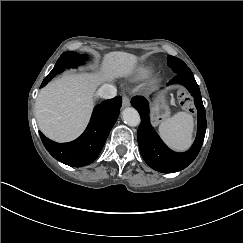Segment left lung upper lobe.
Segmentation results:
<instances>
[{
	"mask_svg": "<svg viewBox=\"0 0 243 243\" xmlns=\"http://www.w3.org/2000/svg\"><path fill=\"white\" fill-rule=\"evenodd\" d=\"M167 58H168L167 61L168 66L172 68V70L175 73L192 74L191 70L187 67V65L179 58L173 57L171 55H168Z\"/></svg>",
	"mask_w": 243,
	"mask_h": 243,
	"instance_id": "5c2ea615",
	"label": "left lung upper lobe"
}]
</instances>
